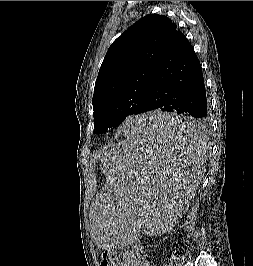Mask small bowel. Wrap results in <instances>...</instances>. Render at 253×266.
Wrapping results in <instances>:
<instances>
[{
	"mask_svg": "<svg viewBox=\"0 0 253 266\" xmlns=\"http://www.w3.org/2000/svg\"><path fill=\"white\" fill-rule=\"evenodd\" d=\"M120 266H150L149 262L142 254V248H133L132 250L125 251Z\"/></svg>",
	"mask_w": 253,
	"mask_h": 266,
	"instance_id": "small-bowel-1",
	"label": "small bowel"
}]
</instances>
